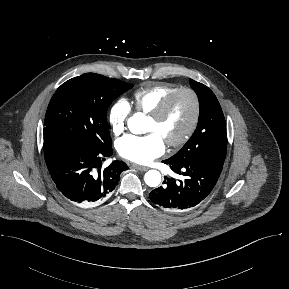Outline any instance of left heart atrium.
<instances>
[{
    "mask_svg": "<svg viewBox=\"0 0 289 289\" xmlns=\"http://www.w3.org/2000/svg\"><path fill=\"white\" fill-rule=\"evenodd\" d=\"M116 145L122 158L139 164L150 163L165 151L163 139L154 132L145 136L127 135Z\"/></svg>",
    "mask_w": 289,
    "mask_h": 289,
    "instance_id": "left-heart-atrium-1",
    "label": "left heart atrium"
}]
</instances>
